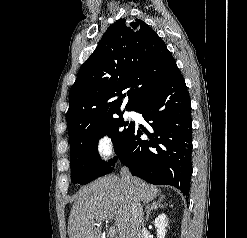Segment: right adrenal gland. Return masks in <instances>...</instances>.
<instances>
[{"mask_svg": "<svg viewBox=\"0 0 247 238\" xmlns=\"http://www.w3.org/2000/svg\"><path fill=\"white\" fill-rule=\"evenodd\" d=\"M162 200H163V197H161L160 199H158V201H154L151 204H147L146 205V207H145V210H146V222L149 220V215H150V212L151 211L156 210L159 207L160 208L163 207V205L161 204Z\"/></svg>", "mask_w": 247, "mask_h": 238, "instance_id": "right-adrenal-gland-1", "label": "right adrenal gland"}]
</instances>
